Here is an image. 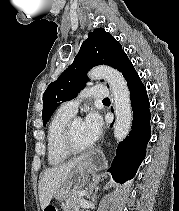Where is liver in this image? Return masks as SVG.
Wrapping results in <instances>:
<instances>
[{"instance_id": "1", "label": "liver", "mask_w": 179, "mask_h": 211, "mask_svg": "<svg viewBox=\"0 0 179 211\" xmlns=\"http://www.w3.org/2000/svg\"><path fill=\"white\" fill-rule=\"evenodd\" d=\"M84 161L85 157L82 156L68 163L44 171L38 185L39 201L42 210L49 205L53 196H56L60 188L68 179L72 170L77 166H80Z\"/></svg>"}]
</instances>
